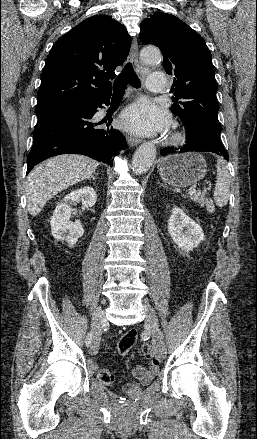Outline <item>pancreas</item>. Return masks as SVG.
<instances>
[{
    "label": "pancreas",
    "mask_w": 257,
    "mask_h": 439,
    "mask_svg": "<svg viewBox=\"0 0 257 439\" xmlns=\"http://www.w3.org/2000/svg\"><path fill=\"white\" fill-rule=\"evenodd\" d=\"M189 198L202 207L207 205V198L204 193H195L194 195H190Z\"/></svg>",
    "instance_id": "pancreas-1"
}]
</instances>
